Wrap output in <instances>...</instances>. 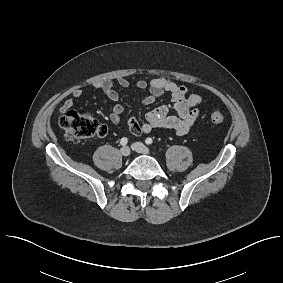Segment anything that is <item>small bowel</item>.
Returning a JSON list of instances; mask_svg holds the SVG:
<instances>
[{"instance_id":"1","label":"small bowel","mask_w":283,"mask_h":283,"mask_svg":"<svg viewBox=\"0 0 283 283\" xmlns=\"http://www.w3.org/2000/svg\"><path fill=\"white\" fill-rule=\"evenodd\" d=\"M128 87L129 81L125 78H119L115 83L103 81L95 84V88L101 90L109 100L116 103L109 115V120L113 124L121 122L124 111L123 106L117 103L118 90ZM136 87L147 92L142 99L143 105L153 104L166 93L170 95L171 103L159 105L147 112L144 123H140L135 117H130L127 125L131 134L138 136L149 133L153 129H162L182 136L190 131L199 115L198 106L201 103L199 95L189 94L186 86L167 77H156L150 81L139 80ZM82 95L81 89H75L71 96L62 102L60 110L65 112L72 108L74 99ZM171 109L175 111V114H170Z\"/></svg>"}]
</instances>
